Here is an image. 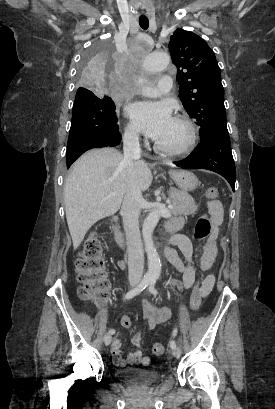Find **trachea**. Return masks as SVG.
I'll return each instance as SVG.
<instances>
[{"label": "trachea", "instance_id": "3493384b", "mask_svg": "<svg viewBox=\"0 0 275 409\" xmlns=\"http://www.w3.org/2000/svg\"><path fill=\"white\" fill-rule=\"evenodd\" d=\"M139 24H140V27L143 28V30H147V28L149 27V20L139 19Z\"/></svg>", "mask_w": 275, "mask_h": 409}]
</instances>
